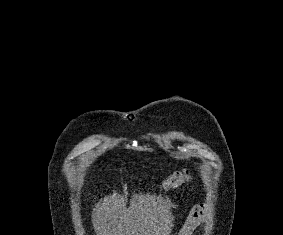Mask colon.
<instances>
[{"mask_svg": "<svg viewBox=\"0 0 283 235\" xmlns=\"http://www.w3.org/2000/svg\"><path fill=\"white\" fill-rule=\"evenodd\" d=\"M190 177L191 176L189 170L187 169L175 171L164 180L162 184L163 188L165 190L176 188L182 185L183 183L189 181ZM189 233H190V229L187 228L185 225L184 228L181 230L180 235H189Z\"/></svg>", "mask_w": 283, "mask_h": 235, "instance_id": "obj_1", "label": "colon"}]
</instances>
